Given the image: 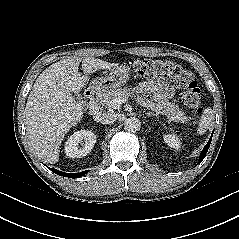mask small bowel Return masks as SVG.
Returning <instances> with one entry per match:
<instances>
[{
  "mask_svg": "<svg viewBox=\"0 0 239 239\" xmlns=\"http://www.w3.org/2000/svg\"><path fill=\"white\" fill-rule=\"evenodd\" d=\"M139 91L145 93H152L155 100L163 101L171 98L173 95V87L166 81H145L139 85Z\"/></svg>",
  "mask_w": 239,
  "mask_h": 239,
  "instance_id": "small-bowel-1",
  "label": "small bowel"
}]
</instances>
